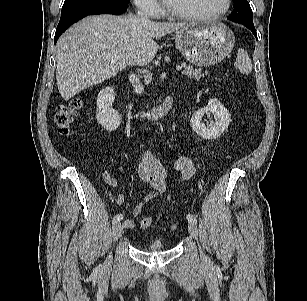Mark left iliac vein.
Returning a JSON list of instances; mask_svg holds the SVG:
<instances>
[{
    "label": "left iliac vein",
    "instance_id": "4c4485c4",
    "mask_svg": "<svg viewBox=\"0 0 307 301\" xmlns=\"http://www.w3.org/2000/svg\"><path fill=\"white\" fill-rule=\"evenodd\" d=\"M188 231L190 233V235L198 241V229H197V226L195 223L193 222H190L189 225H188ZM200 256L203 260L206 259V256L203 254V252L201 251L200 252Z\"/></svg>",
    "mask_w": 307,
    "mask_h": 301
}]
</instances>
